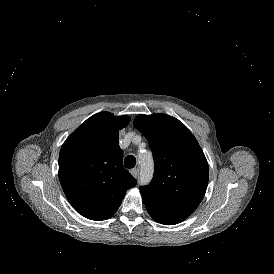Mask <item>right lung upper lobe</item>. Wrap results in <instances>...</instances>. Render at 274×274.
Masks as SVG:
<instances>
[{
  "instance_id": "obj_1",
  "label": "right lung upper lobe",
  "mask_w": 274,
  "mask_h": 274,
  "mask_svg": "<svg viewBox=\"0 0 274 274\" xmlns=\"http://www.w3.org/2000/svg\"><path fill=\"white\" fill-rule=\"evenodd\" d=\"M127 115L100 112L87 119L64 142L59 155V178L70 204L82 216L101 221L118 209L136 180L123 167L120 129Z\"/></svg>"
}]
</instances>
